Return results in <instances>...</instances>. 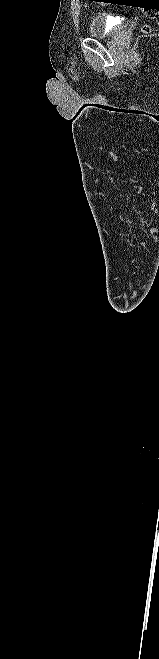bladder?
<instances>
[{
    "instance_id": "obj_1",
    "label": "bladder",
    "mask_w": 159,
    "mask_h": 659,
    "mask_svg": "<svg viewBox=\"0 0 159 659\" xmlns=\"http://www.w3.org/2000/svg\"><path fill=\"white\" fill-rule=\"evenodd\" d=\"M117 30L118 26H113L108 23L105 17L101 14L93 16L87 27L88 36L94 39L112 38Z\"/></svg>"
}]
</instances>
